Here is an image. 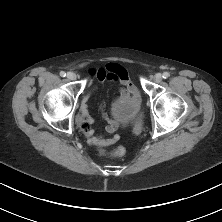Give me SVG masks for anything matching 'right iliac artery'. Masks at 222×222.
<instances>
[{"instance_id":"1","label":"right iliac artery","mask_w":222,"mask_h":222,"mask_svg":"<svg viewBox=\"0 0 222 222\" xmlns=\"http://www.w3.org/2000/svg\"><path fill=\"white\" fill-rule=\"evenodd\" d=\"M60 76H61V77H65V76H66V73H65L64 71H61V72H60Z\"/></svg>"}]
</instances>
